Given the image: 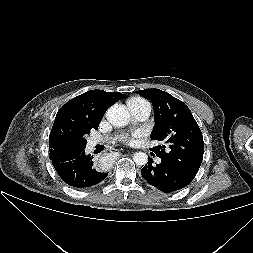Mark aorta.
Segmentation results:
<instances>
[{"instance_id":"1","label":"aorta","mask_w":253,"mask_h":253,"mask_svg":"<svg viewBox=\"0 0 253 253\" xmlns=\"http://www.w3.org/2000/svg\"><path fill=\"white\" fill-rule=\"evenodd\" d=\"M106 118L112 125L123 127L129 123L130 114L124 105L115 104L107 110ZM133 160L137 165L143 166L147 163L148 156L144 152H137L134 154Z\"/></svg>"}]
</instances>
